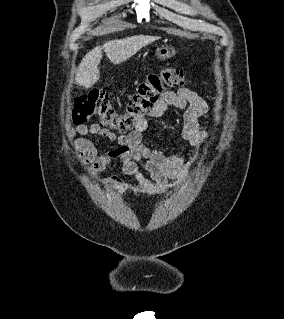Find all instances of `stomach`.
<instances>
[{"label": "stomach", "mask_w": 284, "mask_h": 319, "mask_svg": "<svg viewBox=\"0 0 284 319\" xmlns=\"http://www.w3.org/2000/svg\"><path fill=\"white\" fill-rule=\"evenodd\" d=\"M176 54L175 48L171 46H162L155 52V56L159 59L165 60L173 57Z\"/></svg>", "instance_id": "stomach-1"}]
</instances>
